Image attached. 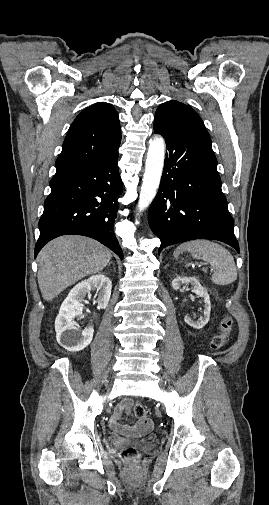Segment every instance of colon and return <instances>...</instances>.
<instances>
[{"label": "colon", "instance_id": "obj_1", "mask_svg": "<svg viewBox=\"0 0 269 505\" xmlns=\"http://www.w3.org/2000/svg\"><path fill=\"white\" fill-rule=\"evenodd\" d=\"M232 330H233L232 319L226 316L221 322L220 332L212 338L210 342V348L213 351H218L224 348L230 341ZM133 411L135 416L139 419L144 418L146 416V409L141 404H136L134 406ZM121 456L125 459H136L138 457V452L135 448L129 447L122 450Z\"/></svg>", "mask_w": 269, "mask_h": 505}]
</instances>
